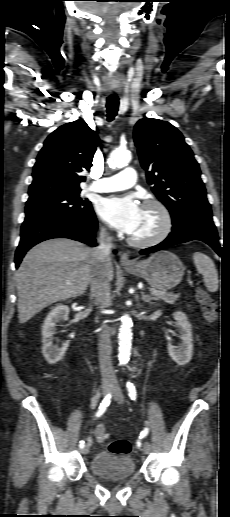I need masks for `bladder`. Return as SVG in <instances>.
Wrapping results in <instances>:
<instances>
[{"mask_svg": "<svg viewBox=\"0 0 230 517\" xmlns=\"http://www.w3.org/2000/svg\"><path fill=\"white\" fill-rule=\"evenodd\" d=\"M90 472L103 479H125L135 474V463L127 454L100 452L91 460Z\"/></svg>", "mask_w": 230, "mask_h": 517, "instance_id": "obj_1", "label": "bladder"}]
</instances>
